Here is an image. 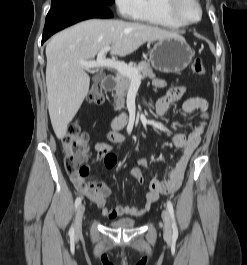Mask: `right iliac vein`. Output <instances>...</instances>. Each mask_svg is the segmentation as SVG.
<instances>
[{"instance_id":"63e3f726","label":"right iliac vein","mask_w":247,"mask_h":265,"mask_svg":"<svg viewBox=\"0 0 247 265\" xmlns=\"http://www.w3.org/2000/svg\"><path fill=\"white\" fill-rule=\"evenodd\" d=\"M85 212V206L83 204H80L77 213H76V219H75V234L80 235L82 231V220H83V215Z\"/></svg>"}]
</instances>
